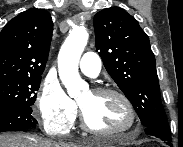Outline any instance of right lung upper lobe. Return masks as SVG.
<instances>
[{
    "mask_svg": "<svg viewBox=\"0 0 183 147\" xmlns=\"http://www.w3.org/2000/svg\"><path fill=\"white\" fill-rule=\"evenodd\" d=\"M52 32L44 9L31 8L10 20L0 32V80L41 76Z\"/></svg>",
    "mask_w": 183,
    "mask_h": 147,
    "instance_id": "right-lung-upper-lobe-1",
    "label": "right lung upper lobe"
}]
</instances>
